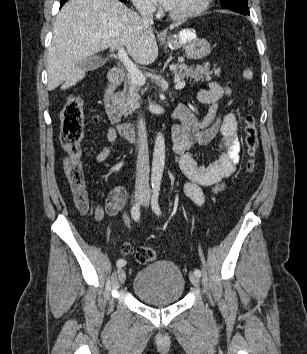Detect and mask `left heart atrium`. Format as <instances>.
Returning <instances> with one entry per match:
<instances>
[{"label": "left heart atrium", "instance_id": "39dd6f15", "mask_svg": "<svg viewBox=\"0 0 307 354\" xmlns=\"http://www.w3.org/2000/svg\"><path fill=\"white\" fill-rule=\"evenodd\" d=\"M160 6L165 9H169L172 5L173 0H157Z\"/></svg>", "mask_w": 307, "mask_h": 354}]
</instances>
